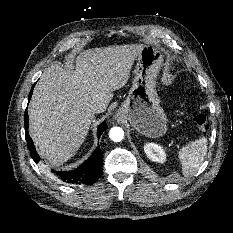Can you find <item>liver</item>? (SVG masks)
Segmentation results:
<instances>
[{"mask_svg":"<svg viewBox=\"0 0 233 233\" xmlns=\"http://www.w3.org/2000/svg\"><path fill=\"white\" fill-rule=\"evenodd\" d=\"M143 45H117L80 52L73 72L46 68L28 108L29 133L52 166L74 156L85 141L95 113H103L113 91L128 81Z\"/></svg>","mask_w":233,"mask_h":233,"instance_id":"1","label":"liver"}]
</instances>
